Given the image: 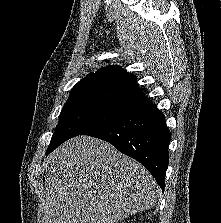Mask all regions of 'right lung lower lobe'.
<instances>
[{
    "label": "right lung lower lobe",
    "instance_id": "98d812e1",
    "mask_svg": "<svg viewBox=\"0 0 221 223\" xmlns=\"http://www.w3.org/2000/svg\"><path fill=\"white\" fill-rule=\"evenodd\" d=\"M84 135L107 141L120 152L139 161L164 189L171 134L164 115L155 104L149 101L135 107L124 116Z\"/></svg>",
    "mask_w": 221,
    "mask_h": 223
}]
</instances>
